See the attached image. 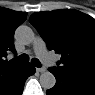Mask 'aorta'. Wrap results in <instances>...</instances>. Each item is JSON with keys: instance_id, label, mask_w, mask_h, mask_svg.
I'll use <instances>...</instances> for the list:
<instances>
[{"instance_id": "obj_1", "label": "aorta", "mask_w": 95, "mask_h": 95, "mask_svg": "<svg viewBox=\"0 0 95 95\" xmlns=\"http://www.w3.org/2000/svg\"><path fill=\"white\" fill-rule=\"evenodd\" d=\"M15 37L19 42L27 45L33 41L34 32L30 27L21 25L15 31ZM40 84H41L42 88L45 90L51 89L56 84V78L49 71L43 72L40 75Z\"/></svg>"}]
</instances>
